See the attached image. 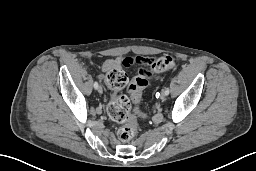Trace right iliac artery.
<instances>
[{
    "instance_id": "1",
    "label": "right iliac artery",
    "mask_w": 256,
    "mask_h": 171,
    "mask_svg": "<svg viewBox=\"0 0 256 171\" xmlns=\"http://www.w3.org/2000/svg\"><path fill=\"white\" fill-rule=\"evenodd\" d=\"M98 87H99L98 82H95V83H94V88L97 89Z\"/></svg>"
}]
</instances>
